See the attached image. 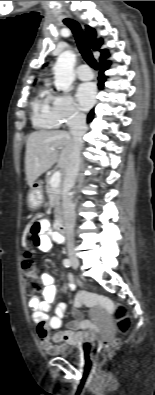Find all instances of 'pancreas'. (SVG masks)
Returning <instances> with one entry per match:
<instances>
[{"label": "pancreas", "mask_w": 155, "mask_h": 395, "mask_svg": "<svg viewBox=\"0 0 155 395\" xmlns=\"http://www.w3.org/2000/svg\"><path fill=\"white\" fill-rule=\"evenodd\" d=\"M46 193L49 198H52V204L55 207L56 211L60 209L61 203V197H62V187L59 185L57 188H53L51 185V176L47 175L46 176Z\"/></svg>", "instance_id": "1"}]
</instances>
